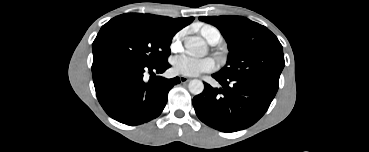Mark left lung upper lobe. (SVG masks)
Returning <instances> with one entry per match:
<instances>
[{
	"label": "left lung upper lobe",
	"mask_w": 369,
	"mask_h": 152,
	"mask_svg": "<svg viewBox=\"0 0 369 152\" xmlns=\"http://www.w3.org/2000/svg\"><path fill=\"white\" fill-rule=\"evenodd\" d=\"M199 19L217 27L228 43V60L218 75L279 82L285 65L282 45L265 26L240 16H201Z\"/></svg>",
	"instance_id": "1"
}]
</instances>
